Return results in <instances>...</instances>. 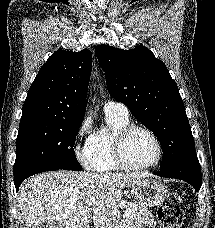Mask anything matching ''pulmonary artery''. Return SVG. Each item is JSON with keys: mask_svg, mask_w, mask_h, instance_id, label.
I'll return each instance as SVG.
<instances>
[{"mask_svg": "<svg viewBox=\"0 0 215 228\" xmlns=\"http://www.w3.org/2000/svg\"><path fill=\"white\" fill-rule=\"evenodd\" d=\"M105 113H118L122 116H129V110L127 106L120 102L108 101L104 105Z\"/></svg>", "mask_w": 215, "mask_h": 228, "instance_id": "obj_1", "label": "pulmonary artery"}]
</instances>
